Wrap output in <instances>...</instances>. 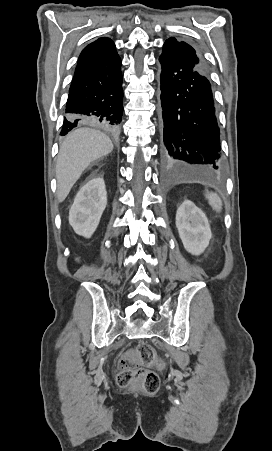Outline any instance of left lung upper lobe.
<instances>
[{"mask_svg":"<svg viewBox=\"0 0 272 451\" xmlns=\"http://www.w3.org/2000/svg\"><path fill=\"white\" fill-rule=\"evenodd\" d=\"M182 44H187L186 42H183V41H180ZM187 45H189V44H187ZM189 46H191V45H189ZM192 47V46H191Z\"/></svg>","mask_w":272,"mask_h":451,"instance_id":"obj_1","label":"left lung upper lobe"}]
</instances>
